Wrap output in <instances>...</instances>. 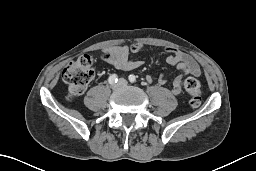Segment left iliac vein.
I'll return each mask as SVG.
<instances>
[{"mask_svg":"<svg viewBox=\"0 0 256 171\" xmlns=\"http://www.w3.org/2000/svg\"><path fill=\"white\" fill-rule=\"evenodd\" d=\"M119 84L121 87L127 86L128 82L124 78L119 79Z\"/></svg>","mask_w":256,"mask_h":171,"instance_id":"1","label":"left iliac vein"}]
</instances>
